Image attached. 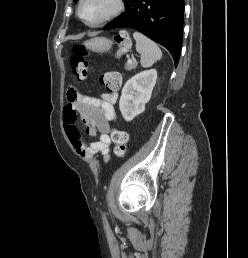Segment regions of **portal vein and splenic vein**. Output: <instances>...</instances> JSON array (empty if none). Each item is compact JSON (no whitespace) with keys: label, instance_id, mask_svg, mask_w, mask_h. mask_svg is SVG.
Instances as JSON below:
<instances>
[{"label":"portal vein and splenic vein","instance_id":"1","mask_svg":"<svg viewBox=\"0 0 248 258\" xmlns=\"http://www.w3.org/2000/svg\"><path fill=\"white\" fill-rule=\"evenodd\" d=\"M132 62V59H128V63H131Z\"/></svg>","mask_w":248,"mask_h":258}]
</instances>
